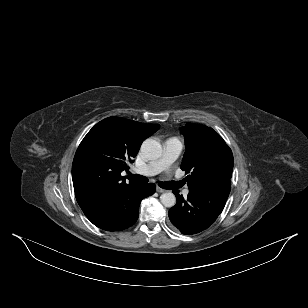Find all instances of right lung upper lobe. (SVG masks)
Masks as SVG:
<instances>
[{"mask_svg": "<svg viewBox=\"0 0 308 308\" xmlns=\"http://www.w3.org/2000/svg\"><path fill=\"white\" fill-rule=\"evenodd\" d=\"M158 124L109 117L97 123L80 143L72 164L77 202L88 219L110 215L140 185L121 176L133 162L141 142Z\"/></svg>", "mask_w": 308, "mask_h": 308, "instance_id": "right-lung-upper-lobe-1", "label": "right lung upper lobe"}]
</instances>
